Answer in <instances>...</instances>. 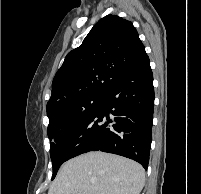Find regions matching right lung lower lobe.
<instances>
[{"label": "right lung lower lobe", "mask_w": 201, "mask_h": 194, "mask_svg": "<svg viewBox=\"0 0 201 194\" xmlns=\"http://www.w3.org/2000/svg\"><path fill=\"white\" fill-rule=\"evenodd\" d=\"M154 107L153 75L148 56L104 95L97 110L62 141V164L89 151L121 155L147 170Z\"/></svg>", "instance_id": "obj_1"}]
</instances>
